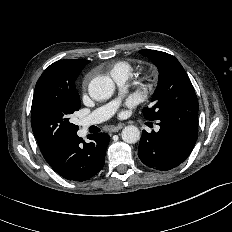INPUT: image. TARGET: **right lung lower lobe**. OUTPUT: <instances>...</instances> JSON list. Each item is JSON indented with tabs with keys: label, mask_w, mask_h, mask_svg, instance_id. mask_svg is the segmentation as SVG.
<instances>
[{
	"label": "right lung lower lobe",
	"mask_w": 232,
	"mask_h": 232,
	"mask_svg": "<svg viewBox=\"0 0 232 232\" xmlns=\"http://www.w3.org/2000/svg\"><path fill=\"white\" fill-rule=\"evenodd\" d=\"M86 143L77 134L64 141L49 165L63 178L85 181L96 175L105 164L110 137L106 133L90 135Z\"/></svg>",
	"instance_id": "1"
}]
</instances>
